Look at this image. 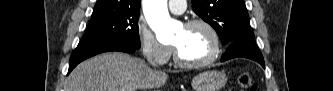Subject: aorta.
Instances as JSON below:
<instances>
[{
    "label": "aorta",
    "instance_id": "762f6f07",
    "mask_svg": "<svg viewBox=\"0 0 333 91\" xmlns=\"http://www.w3.org/2000/svg\"><path fill=\"white\" fill-rule=\"evenodd\" d=\"M143 12L159 42L173 40L178 24L169 16L167 0H143Z\"/></svg>",
    "mask_w": 333,
    "mask_h": 91
}]
</instances>
